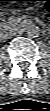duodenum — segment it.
I'll return each mask as SVG.
<instances>
[{
  "instance_id": "duodenum-1",
  "label": "duodenum",
  "mask_w": 50,
  "mask_h": 111,
  "mask_svg": "<svg viewBox=\"0 0 50 111\" xmlns=\"http://www.w3.org/2000/svg\"><path fill=\"white\" fill-rule=\"evenodd\" d=\"M41 24H42L41 22H35L33 20H27L25 26L26 27H32V26L41 25Z\"/></svg>"
}]
</instances>
